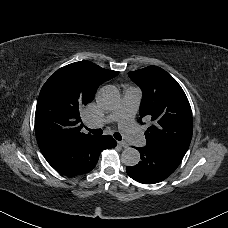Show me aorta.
<instances>
[{
  "mask_svg": "<svg viewBox=\"0 0 228 228\" xmlns=\"http://www.w3.org/2000/svg\"><path fill=\"white\" fill-rule=\"evenodd\" d=\"M120 94L112 85L102 87L97 94V103L105 110H113L119 103ZM121 161L126 166H135L140 161V153L137 149L127 147L121 154Z\"/></svg>",
  "mask_w": 228,
  "mask_h": 228,
  "instance_id": "obj_1",
  "label": "aorta"
}]
</instances>
